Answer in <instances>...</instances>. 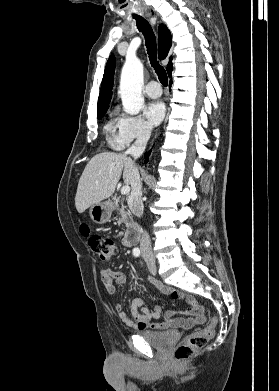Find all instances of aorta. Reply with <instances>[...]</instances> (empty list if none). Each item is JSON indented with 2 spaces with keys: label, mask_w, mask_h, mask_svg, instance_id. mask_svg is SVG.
Listing matches in <instances>:
<instances>
[{
  "label": "aorta",
  "mask_w": 279,
  "mask_h": 391,
  "mask_svg": "<svg viewBox=\"0 0 279 391\" xmlns=\"http://www.w3.org/2000/svg\"><path fill=\"white\" fill-rule=\"evenodd\" d=\"M142 86L143 64L138 58L129 57L122 68L119 90L126 113L136 115L144 107Z\"/></svg>",
  "instance_id": "762f6f07"
}]
</instances>
